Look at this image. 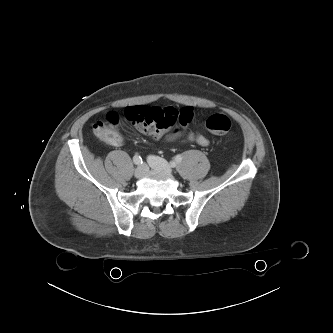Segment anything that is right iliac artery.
<instances>
[{
	"instance_id": "right-iliac-artery-1",
	"label": "right iliac artery",
	"mask_w": 333,
	"mask_h": 333,
	"mask_svg": "<svg viewBox=\"0 0 333 333\" xmlns=\"http://www.w3.org/2000/svg\"><path fill=\"white\" fill-rule=\"evenodd\" d=\"M133 161L136 165H141L143 163V160L139 155H135L133 157Z\"/></svg>"
}]
</instances>
